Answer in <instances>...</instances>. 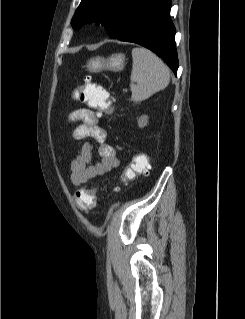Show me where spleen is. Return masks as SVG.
Wrapping results in <instances>:
<instances>
[{
	"label": "spleen",
	"mask_w": 245,
	"mask_h": 319,
	"mask_svg": "<svg viewBox=\"0 0 245 319\" xmlns=\"http://www.w3.org/2000/svg\"><path fill=\"white\" fill-rule=\"evenodd\" d=\"M131 100L141 102L165 89L170 81V71L152 51L144 47L132 49Z\"/></svg>",
	"instance_id": "1"
}]
</instances>
